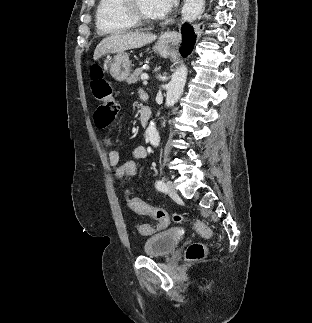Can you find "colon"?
I'll use <instances>...</instances> for the list:
<instances>
[{
    "label": "colon",
    "mask_w": 312,
    "mask_h": 323,
    "mask_svg": "<svg viewBox=\"0 0 312 323\" xmlns=\"http://www.w3.org/2000/svg\"><path fill=\"white\" fill-rule=\"evenodd\" d=\"M98 78H92L91 90L94 98L99 101V104L94 113L95 125L98 129H104L109 126L114 118L119 113V106L113 95V89L108 80L100 77V73L97 72ZM136 162L134 160H128L127 164H123L120 170L127 171L128 175H135ZM116 170V167H113ZM127 204H130L132 213H144V211H150L155 213L154 217L157 220L155 226L150 224H141L136 227L137 231L141 234H150L154 231H160L166 229L170 225L169 216L165 211H162L160 206H151L150 202H137L136 197H127L125 199ZM175 222H180L184 219L181 214L174 215ZM169 221V222H168ZM193 228L195 231L212 235V231L201 220H197ZM206 248L202 243H193L186 250V258L189 261H200L205 257Z\"/></svg>",
    "instance_id": "1"
}]
</instances>
